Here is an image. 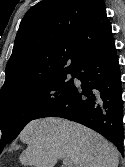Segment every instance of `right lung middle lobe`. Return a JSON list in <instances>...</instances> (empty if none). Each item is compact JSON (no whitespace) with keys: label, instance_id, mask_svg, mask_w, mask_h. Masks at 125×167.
Instances as JSON below:
<instances>
[{"label":"right lung middle lobe","instance_id":"dd1d6c3e","mask_svg":"<svg viewBox=\"0 0 125 167\" xmlns=\"http://www.w3.org/2000/svg\"><path fill=\"white\" fill-rule=\"evenodd\" d=\"M64 72L38 84L0 99V145L15 139L20 131L49 102L60 99L74 84Z\"/></svg>","mask_w":125,"mask_h":167}]
</instances>
